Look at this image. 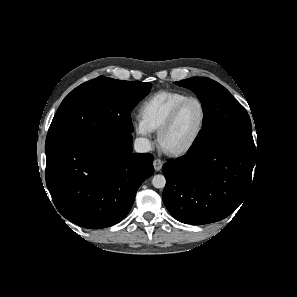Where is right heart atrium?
Segmentation results:
<instances>
[{
  "instance_id": "obj_1",
  "label": "right heart atrium",
  "mask_w": 297,
  "mask_h": 297,
  "mask_svg": "<svg viewBox=\"0 0 297 297\" xmlns=\"http://www.w3.org/2000/svg\"><path fill=\"white\" fill-rule=\"evenodd\" d=\"M134 125H135L136 132L139 135L148 136L150 134V131L148 130V128L144 125V123L140 119H138Z\"/></svg>"
}]
</instances>
